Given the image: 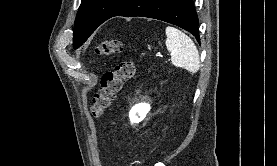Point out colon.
<instances>
[{"label": "colon", "instance_id": "colon-1", "mask_svg": "<svg viewBox=\"0 0 277 166\" xmlns=\"http://www.w3.org/2000/svg\"><path fill=\"white\" fill-rule=\"evenodd\" d=\"M123 51V44L118 39H106L95 48L97 56H110ZM136 72L134 61H122L113 70L103 74L99 91L94 95L90 107L94 119H100L115 100L123 85L132 79Z\"/></svg>", "mask_w": 277, "mask_h": 166}]
</instances>
